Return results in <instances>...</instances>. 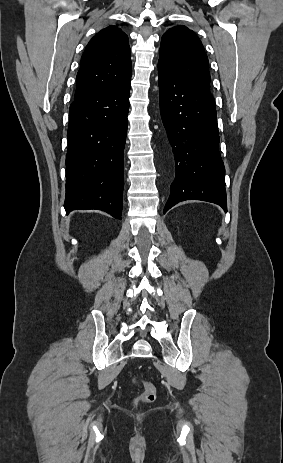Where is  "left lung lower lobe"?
<instances>
[{
	"instance_id": "0a47b994",
	"label": "left lung lower lobe",
	"mask_w": 283,
	"mask_h": 463,
	"mask_svg": "<svg viewBox=\"0 0 283 463\" xmlns=\"http://www.w3.org/2000/svg\"><path fill=\"white\" fill-rule=\"evenodd\" d=\"M158 75L161 117L176 165L163 213L184 200L212 202L227 211L214 98L187 85L162 63Z\"/></svg>"
}]
</instances>
